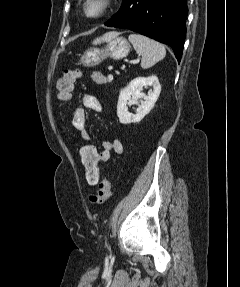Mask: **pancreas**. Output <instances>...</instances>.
Here are the masks:
<instances>
[{"label": "pancreas", "mask_w": 240, "mask_h": 287, "mask_svg": "<svg viewBox=\"0 0 240 287\" xmlns=\"http://www.w3.org/2000/svg\"><path fill=\"white\" fill-rule=\"evenodd\" d=\"M91 78L93 79V81H95L97 84H105L110 82L111 80H109L108 78H106L104 75L100 74V73H93Z\"/></svg>", "instance_id": "obj_1"}]
</instances>
